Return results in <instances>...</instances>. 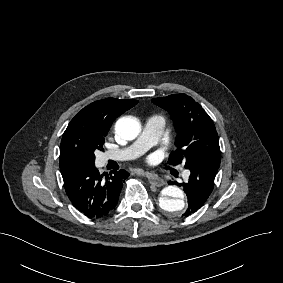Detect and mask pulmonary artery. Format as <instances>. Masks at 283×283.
<instances>
[{
    "label": "pulmonary artery",
    "instance_id": "pulmonary-artery-1",
    "mask_svg": "<svg viewBox=\"0 0 283 283\" xmlns=\"http://www.w3.org/2000/svg\"><path fill=\"white\" fill-rule=\"evenodd\" d=\"M165 127V119L159 115L149 117L143 127V130L137 140L127 148H120L118 151L110 153L113 160L126 161L136 158L141 154H146L150 150V146L156 144ZM185 176H189V171L185 172Z\"/></svg>",
    "mask_w": 283,
    "mask_h": 283
}]
</instances>
